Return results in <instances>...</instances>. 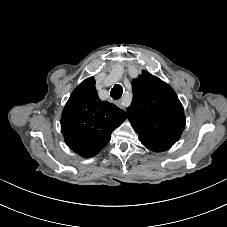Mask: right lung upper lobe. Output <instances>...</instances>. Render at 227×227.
<instances>
[{
    "mask_svg": "<svg viewBox=\"0 0 227 227\" xmlns=\"http://www.w3.org/2000/svg\"><path fill=\"white\" fill-rule=\"evenodd\" d=\"M126 119L123 110L98 97L95 80L87 78L72 92L61 117V131L68 147L89 158L110 141L112 131Z\"/></svg>",
    "mask_w": 227,
    "mask_h": 227,
    "instance_id": "right-lung-upper-lobe-1",
    "label": "right lung upper lobe"
}]
</instances>
